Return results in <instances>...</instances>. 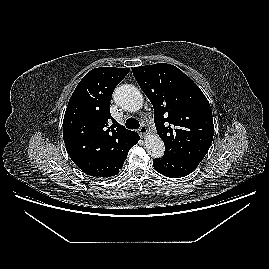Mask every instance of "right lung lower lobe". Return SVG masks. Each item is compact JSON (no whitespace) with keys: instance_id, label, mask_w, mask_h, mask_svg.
Instances as JSON below:
<instances>
[{"instance_id":"right-lung-lower-lobe-1","label":"right lung lower lobe","mask_w":269,"mask_h":269,"mask_svg":"<svg viewBox=\"0 0 269 269\" xmlns=\"http://www.w3.org/2000/svg\"><path fill=\"white\" fill-rule=\"evenodd\" d=\"M138 140H139V135L137 134V135L134 137V139L132 140V143H131L130 148H131L133 145H135V144L137 143ZM130 148H129V149H130ZM129 149H128V151H127L126 157H127V155H128Z\"/></svg>"}]
</instances>
